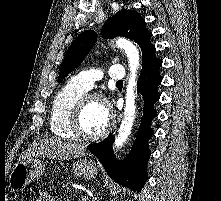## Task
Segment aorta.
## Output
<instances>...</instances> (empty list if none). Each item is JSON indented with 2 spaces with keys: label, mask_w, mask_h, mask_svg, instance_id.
Instances as JSON below:
<instances>
[{
  "label": "aorta",
  "mask_w": 221,
  "mask_h": 201,
  "mask_svg": "<svg viewBox=\"0 0 221 201\" xmlns=\"http://www.w3.org/2000/svg\"><path fill=\"white\" fill-rule=\"evenodd\" d=\"M116 46L124 50L125 54L128 57L129 67H130V76L126 89L123 120L118 129V134L116 136L114 143V147L119 149L128 139V136L131 133L134 123L135 112H136V105H135V100H136L135 90L137 84L136 77L140 63V57L137 48L129 40H126L124 38H119L116 40Z\"/></svg>",
  "instance_id": "762f6f07"
}]
</instances>
